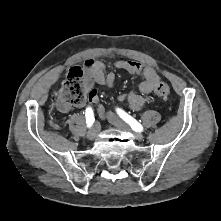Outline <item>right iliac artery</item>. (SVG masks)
I'll return each mask as SVG.
<instances>
[{
  "instance_id": "right-iliac-artery-1",
  "label": "right iliac artery",
  "mask_w": 221,
  "mask_h": 221,
  "mask_svg": "<svg viewBox=\"0 0 221 221\" xmlns=\"http://www.w3.org/2000/svg\"><path fill=\"white\" fill-rule=\"evenodd\" d=\"M85 116H86L87 127L90 128L95 121L92 108H90V107L86 108Z\"/></svg>"
}]
</instances>
